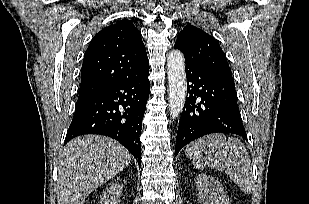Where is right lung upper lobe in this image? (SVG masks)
Returning a JSON list of instances; mask_svg holds the SVG:
<instances>
[{
    "instance_id": "1",
    "label": "right lung upper lobe",
    "mask_w": 309,
    "mask_h": 204,
    "mask_svg": "<svg viewBox=\"0 0 309 204\" xmlns=\"http://www.w3.org/2000/svg\"><path fill=\"white\" fill-rule=\"evenodd\" d=\"M149 68L140 31L128 19L102 29L87 48L79 97L136 76Z\"/></svg>"
}]
</instances>
